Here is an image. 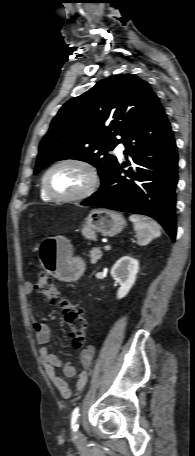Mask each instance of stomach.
<instances>
[{"label": "stomach", "mask_w": 195, "mask_h": 456, "mask_svg": "<svg viewBox=\"0 0 195 456\" xmlns=\"http://www.w3.org/2000/svg\"><path fill=\"white\" fill-rule=\"evenodd\" d=\"M126 226L124 217L108 209H95L89 213L81 233L88 240H96L97 233L104 236L119 234ZM42 265L54 277L71 281L82 273L85 263L73 254L70 242L64 237H48L39 249Z\"/></svg>", "instance_id": "1"}]
</instances>
